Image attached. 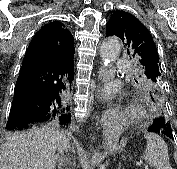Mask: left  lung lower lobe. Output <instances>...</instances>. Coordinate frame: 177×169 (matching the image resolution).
Segmentation results:
<instances>
[{"label":"left lung lower lobe","instance_id":"left-lung-lower-lobe-1","mask_svg":"<svg viewBox=\"0 0 177 169\" xmlns=\"http://www.w3.org/2000/svg\"><path fill=\"white\" fill-rule=\"evenodd\" d=\"M153 102L161 109L162 115L160 118L156 119L151 127L148 128L149 132L161 133L169 137L170 139L173 138V133L171 129L170 123L166 121L164 112L162 110V101L158 96L152 97Z\"/></svg>","mask_w":177,"mask_h":169}]
</instances>
